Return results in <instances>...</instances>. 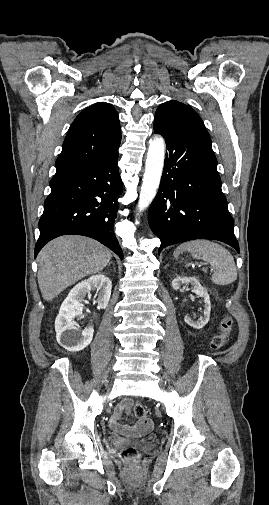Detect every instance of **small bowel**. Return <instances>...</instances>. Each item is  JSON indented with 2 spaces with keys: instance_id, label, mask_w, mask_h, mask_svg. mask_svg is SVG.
Returning a JSON list of instances; mask_svg holds the SVG:
<instances>
[{
  "instance_id": "small-bowel-1",
  "label": "small bowel",
  "mask_w": 269,
  "mask_h": 505,
  "mask_svg": "<svg viewBox=\"0 0 269 505\" xmlns=\"http://www.w3.org/2000/svg\"><path fill=\"white\" fill-rule=\"evenodd\" d=\"M133 405L130 398L123 399L116 407L114 415L110 419V427L113 431L127 436H142L147 434L153 427L151 419L144 417L138 420L135 426L128 427L120 422L122 414Z\"/></svg>"
}]
</instances>
